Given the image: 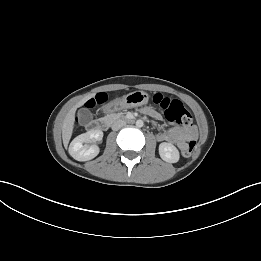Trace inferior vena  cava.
<instances>
[{
  "mask_svg": "<svg viewBox=\"0 0 261 261\" xmlns=\"http://www.w3.org/2000/svg\"><path fill=\"white\" fill-rule=\"evenodd\" d=\"M126 125V122L124 120H117L112 125V130L117 131L120 128L124 127Z\"/></svg>",
  "mask_w": 261,
  "mask_h": 261,
  "instance_id": "obj_1",
  "label": "inferior vena cava"
}]
</instances>
